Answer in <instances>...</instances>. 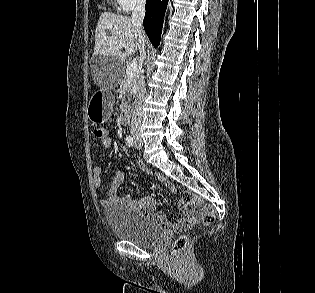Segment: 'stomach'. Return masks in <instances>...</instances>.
<instances>
[{"label": "stomach", "instance_id": "0dacf381", "mask_svg": "<svg viewBox=\"0 0 315 293\" xmlns=\"http://www.w3.org/2000/svg\"><path fill=\"white\" fill-rule=\"evenodd\" d=\"M114 97L111 93L96 92L90 100L88 116L93 123L105 122L112 111Z\"/></svg>", "mask_w": 315, "mask_h": 293}]
</instances>
